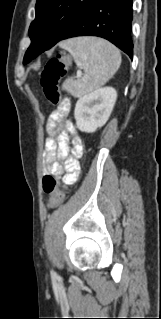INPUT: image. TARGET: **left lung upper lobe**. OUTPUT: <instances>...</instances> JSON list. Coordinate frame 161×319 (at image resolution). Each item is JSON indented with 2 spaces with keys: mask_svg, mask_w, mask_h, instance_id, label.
I'll return each instance as SVG.
<instances>
[{
  "mask_svg": "<svg viewBox=\"0 0 161 319\" xmlns=\"http://www.w3.org/2000/svg\"><path fill=\"white\" fill-rule=\"evenodd\" d=\"M95 0H37L36 17L29 28L32 43L25 57L33 58L59 42Z\"/></svg>",
  "mask_w": 161,
  "mask_h": 319,
  "instance_id": "5c2ea615",
  "label": "left lung upper lobe"
}]
</instances>
